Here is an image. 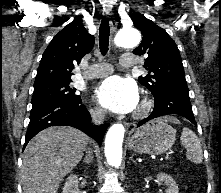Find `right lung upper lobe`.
I'll return each mask as SVG.
<instances>
[{
    "mask_svg": "<svg viewBox=\"0 0 221 193\" xmlns=\"http://www.w3.org/2000/svg\"><path fill=\"white\" fill-rule=\"evenodd\" d=\"M94 46V37L90 35L81 17L56 34L42 55L34 86L71 81L74 63H79Z\"/></svg>",
    "mask_w": 221,
    "mask_h": 193,
    "instance_id": "obj_1",
    "label": "right lung upper lobe"
}]
</instances>
